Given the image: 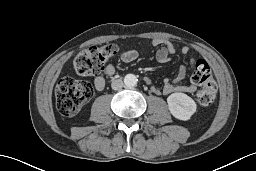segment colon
<instances>
[{
  "mask_svg": "<svg viewBox=\"0 0 256 171\" xmlns=\"http://www.w3.org/2000/svg\"><path fill=\"white\" fill-rule=\"evenodd\" d=\"M115 53L116 47L113 44L87 48L75 57L73 69L81 76L99 75L106 61ZM192 81L201 86L197 93L198 101L203 106L211 105L216 98L217 85L205 60L196 61ZM92 96V86L84 81L65 77L56 86L57 108L64 116L76 114Z\"/></svg>",
  "mask_w": 256,
  "mask_h": 171,
  "instance_id": "obj_1",
  "label": "colon"
}]
</instances>
